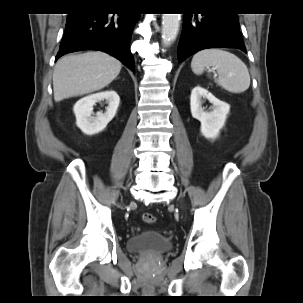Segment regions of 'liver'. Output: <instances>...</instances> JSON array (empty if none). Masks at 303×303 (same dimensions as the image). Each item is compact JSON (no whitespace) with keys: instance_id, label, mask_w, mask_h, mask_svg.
<instances>
[{"instance_id":"liver-1","label":"liver","mask_w":303,"mask_h":303,"mask_svg":"<svg viewBox=\"0 0 303 303\" xmlns=\"http://www.w3.org/2000/svg\"><path fill=\"white\" fill-rule=\"evenodd\" d=\"M121 67L120 61L99 51L64 56L53 73L54 100L101 90L118 76Z\"/></svg>"}]
</instances>
